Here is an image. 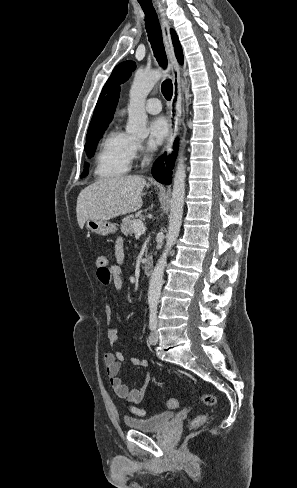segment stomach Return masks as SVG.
I'll return each instance as SVG.
<instances>
[{"label": "stomach", "instance_id": "obj_1", "mask_svg": "<svg viewBox=\"0 0 297 488\" xmlns=\"http://www.w3.org/2000/svg\"><path fill=\"white\" fill-rule=\"evenodd\" d=\"M86 227L91 232L103 236L115 233L117 231V227L115 224L104 220L89 219L86 222Z\"/></svg>", "mask_w": 297, "mask_h": 488}]
</instances>
